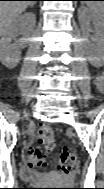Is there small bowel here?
Returning <instances> with one entry per match:
<instances>
[{"mask_svg": "<svg viewBox=\"0 0 104 189\" xmlns=\"http://www.w3.org/2000/svg\"><path fill=\"white\" fill-rule=\"evenodd\" d=\"M96 82H97V85L99 87H101L103 85V78L102 77H97Z\"/></svg>", "mask_w": 104, "mask_h": 189, "instance_id": "obj_1", "label": "small bowel"}]
</instances>
